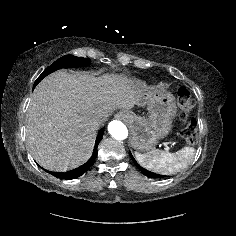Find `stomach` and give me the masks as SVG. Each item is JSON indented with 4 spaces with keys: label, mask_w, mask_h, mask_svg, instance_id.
<instances>
[{
    "label": "stomach",
    "mask_w": 236,
    "mask_h": 236,
    "mask_svg": "<svg viewBox=\"0 0 236 236\" xmlns=\"http://www.w3.org/2000/svg\"><path fill=\"white\" fill-rule=\"evenodd\" d=\"M133 84L142 97L139 106L147 105L149 117L132 111H125L124 116L131 130L133 148L148 152L169 134L176 113L175 99L171 93L157 87L148 88L139 80H133Z\"/></svg>",
    "instance_id": "1"
}]
</instances>
